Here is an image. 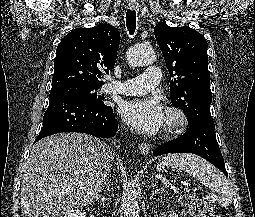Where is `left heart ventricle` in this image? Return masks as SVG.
<instances>
[{
	"instance_id": "1",
	"label": "left heart ventricle",
	"mask_w": 255,
	"mask_h": 217,
	"mask_svg": "<svg viewBox=\"0 0 255 217\" xmlns=\"http://www.w3.org/2000/svg\"><path fill=\"white\" fill-rule=\"evenodd\" d=\"M172 122V119L169 118L167 115H166V119H165V122H164V127L167 126L169 123Z\"/></svg>"
}]
</instances>
